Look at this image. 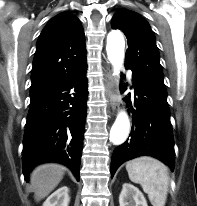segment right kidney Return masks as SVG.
Here are the masks:
<instances>
[{
	"mask_svg": "<svg viewBox=\"0 0 197 206\" xmlns=\"http://www.w3.org/2000/svg\"><path fill=\"white\" fill-rule=\"evenodd\" d=\"M68 192L66 186L59 188L46 199L43 206H68L70 201Z\"/></svg>",
	"mask_w": 197,
	"mask_h": 206,
	"instance_id": "ca27d5eb",
	"label": "right kidney"
}]
</instances>
